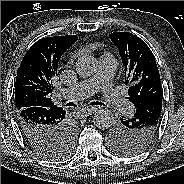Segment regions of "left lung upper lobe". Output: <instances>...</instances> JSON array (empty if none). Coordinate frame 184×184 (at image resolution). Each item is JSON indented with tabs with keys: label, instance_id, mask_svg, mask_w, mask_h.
<instances>
[{
	"label": "left lung upper lobe",
	"instance_id": "obj_1",
	"mask_svg": "<svg viewBox=\"0 0 184 184\" xmlns=\"http://www.w3.org/2000/svg\"><path fill=\"white\" fill-rule=\"evenodd\" d=\"M109 38L119 49L126 70L125 84L130 85L127 99L136 108L150 99H162L159 71L147 44L129 32H114ZM160 115L161 112L152 118L148 116L150 118L141 123L134 117H121L108 132L112 150L120 156H132L145 150L159 129Z\"/></svg>",
	"mask_w": 184,
	"mask_h": 184
}]
</instances>
